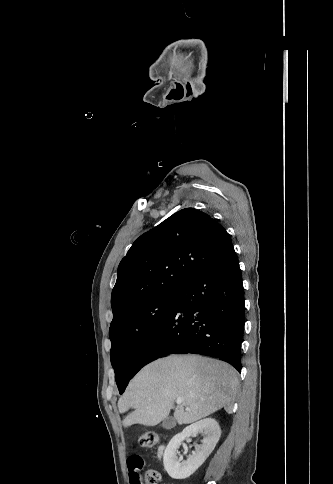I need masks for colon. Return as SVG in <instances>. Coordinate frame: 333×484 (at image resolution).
<instances>
[{"mask_svg":"<svg viewBox=\"0 0 333 484\" xmlns=\"http://www.w3.org/2000/svg\"><path fill=\"white\" fill-rule=\"evenodd\" d=\"M158 441H159L158 435L152 431L143 433L139 438V444L144 448L153 447L158 443ZM159 480H160V474L155 470H150L145 474V479H144L145 484H158Z\"/></svg>","mask_w":333,"mask_h":484,"instance_id":"obj_1","label":"colon"}]
</instances>
